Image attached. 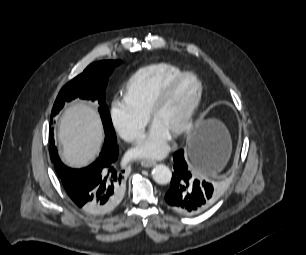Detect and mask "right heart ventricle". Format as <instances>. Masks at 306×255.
<instances>
[{"label":"right heart ventricle","mask_w":306,"mask_h":255,"mask_svg":"<svg viewBox=\"0 0 306 255\" xmlns=\"http://www.w3.org/2000/svg\"><path fill=\"white\" fill-rule=\"evenodd\" d=\"M184 71L169 63H157L138 69L124 87V99L139 113L147 116L159 93Z\"/></svg>","instance_id":"obj_1"}]
</instances>
